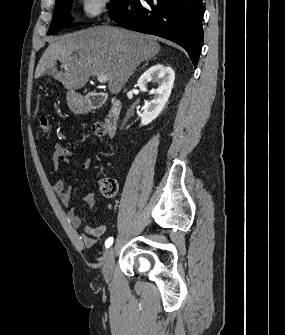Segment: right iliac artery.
<instances>
[{
    "instance_id": "right-iliac-artery-1",
    "label": "right iliac artery",
    "mask_w": 285,
    "mask_h": 335,
    "mask_svg": "<svg viewBox=\"0 0 285 335\" xmlns=\"http://www.w3.org/2000/svg\"><path fill=\"white\" fill-rule=\"evenodd\" d=\"M113 244V237H109L105 242V247L109 248Z\"/></svg>"
}]
</instances>
